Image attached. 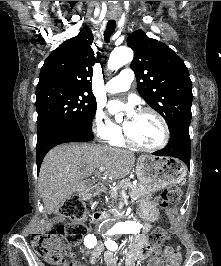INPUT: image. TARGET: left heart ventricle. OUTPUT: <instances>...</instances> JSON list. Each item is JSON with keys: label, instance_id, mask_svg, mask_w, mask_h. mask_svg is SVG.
I'll list each match as a JSON object with an SVG mask.
<instances>
[{"label": "left heart ventricle", "instance_id": "b2bd125f", "mask_svg": "<svg viewBox=\"0 0 221 266\" xmlns=\"http://www.w3.org/2000/svg\"><path fill=\"white\" fill-rule=\"evenodd\" d=\"M124 127L134 140L144 146H154L162 138V128L151 114L138 113L133 118L126 117Z\"/></svg>", "mask_w": 221, "mask_h": 266}]
</instances>
